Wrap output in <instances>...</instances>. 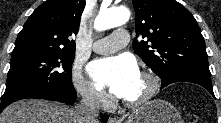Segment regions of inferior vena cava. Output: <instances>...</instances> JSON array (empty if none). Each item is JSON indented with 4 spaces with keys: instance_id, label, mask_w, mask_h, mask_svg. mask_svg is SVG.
Here are the masks:
<instances>
[{
    "instance_id": "inferior-vena-cava-1",
    "label": "inferior vena cava",
    "mask_w": 221,
    "mask_h": 123,
    "mask_svg": "<svg viewBox=\"0 0 221 123\" xmlns=\"http://www.w3.org/2000/svg\"><path fill=\"white\" fill-rule=\"evenodd\" d=\"M82 100L76 107L78 123H97L102 97L93 88L85 87L81 91Z\"/></svg>"
}]
</instances>
